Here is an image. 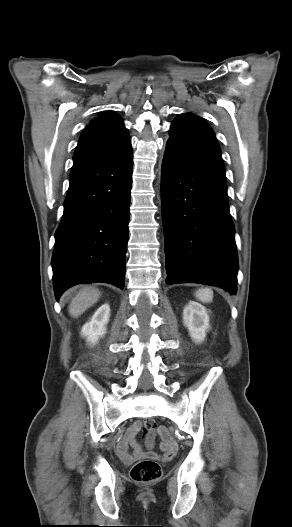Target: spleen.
Wrapping results in <instances>:
<instances>
[{
    "label": "spleen",
    "mask_w": 292,
    "mask_h": 527,
    "mask_svg": "<svg viewBox=\"0 0 292 527\" xmlns=\"http://www.w3.org/2000/svg\"><path fill=\"white\" fill-rule=\"evenodd\" d=\"M195 296L201 302H211L213 299V291L210 288H202L196 291Z\"/></svg>",
    "instance_id": "3e777b00"
}]
</instances>
